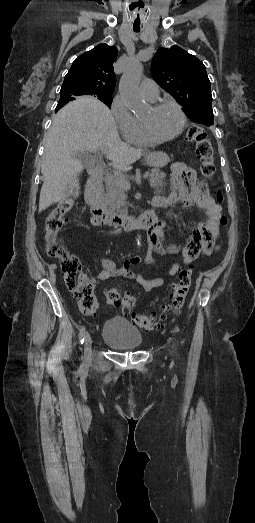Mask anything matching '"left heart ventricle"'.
Masks as SVG:
<instances>
[{"mask_svg": "<svg viewBox=\"0 0 255 523\" xmlns=\"http://www.w3.org/2000/svg\"><path fill=\"white\" fill-rule=\"evenodd\" d=\"M142 119L148 121L151 131L158 137L171 136L180 125V116L172 106H164L158 110L150 108Z\"/></svg>", "mask_w": 255, "mask_h": 523, "instance_id": "1", "label": "left heart ventricle"}]
</instances>
